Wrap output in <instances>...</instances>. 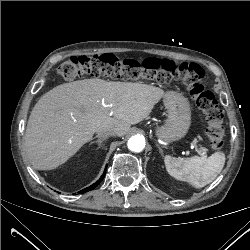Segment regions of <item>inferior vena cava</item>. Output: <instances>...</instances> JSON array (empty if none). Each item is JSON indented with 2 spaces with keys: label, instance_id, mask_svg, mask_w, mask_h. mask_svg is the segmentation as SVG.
Instances as JSON below:
<instances>
[{
  "label": "inferior vena cava",
  "instance_id": "obj_1",
  "mask_svg": "<svg viewBox=\"0 0 250 250\" xmlns=\"http://www.w3.org/2000/svg\"><path fill=\"white\" fill-rule=\"evenodd\" d=\"M115 135H116V132L113 129H105V130L97 131V136L99 138L108 137V136H115Z\"/></svg>",
  "mask_w": 250,
  "mask_h": 250
}]
</instances>
